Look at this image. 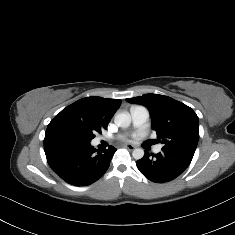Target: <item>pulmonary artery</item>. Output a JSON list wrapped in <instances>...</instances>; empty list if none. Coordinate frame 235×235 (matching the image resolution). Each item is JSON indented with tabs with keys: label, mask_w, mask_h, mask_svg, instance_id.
I'll return each instance as SVG.
<instances>
[{
	"label": "pulmonary artery",
	"mask_w": 235,
	"mask_h": 235,
	"mask_svg": "<svg viewBox=\"0 0 235 235\" xmlns=\"http://www.w3.org/2000/svg\"><path fill=\"white\" fill-rule=\"evenodd\" d=\"M132 117V124L134 129L143 128L149 120V110L145 106L135 105L130 108ZM107 140L106 137H99L94 141V144H99L101 141ZM161 151V146L154 147V152L158 153Z\"/></svg>",
	"instance_id": "1"
}]
</instances>
